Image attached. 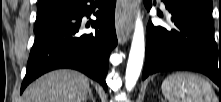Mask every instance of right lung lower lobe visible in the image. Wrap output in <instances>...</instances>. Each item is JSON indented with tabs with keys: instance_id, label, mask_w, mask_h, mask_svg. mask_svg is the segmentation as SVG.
<instances>
[{
	"instance_id": "1",
	"label": "right lung lower lobe",
	"mask_w": 221,
	"mask_h": 102,
	"mask_svg": "<svg viewBox=\"0 0 221 102\" xmlns=\"http://www.w3.org/2000/svg\"><path fill=\"white\" fill-rule=\"evenodd\" d=\"M115 5L116 0H75L72 9L34 31L35 41L20 93L42 74L59 68L79 70L107 90L109 55L117 45ZM91 13L97 17L91 22L95 31L85 33L82 17Z\"/></svg>"
}]
</instances>
